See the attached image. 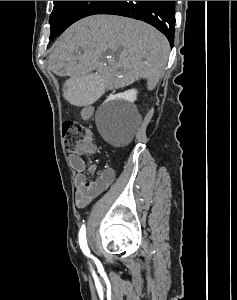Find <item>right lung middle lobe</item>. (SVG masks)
Here are the masks:
<instances>
[{"instance_id":"obj_1","label":"right lung middle lobe","mask_w":237,"mask_h":300,"mask_svg":"<svg viewBox=\"0 0 237 300\" xmlns=\"http://www.w3.org/2000/svg\"><path fill=\"white\" fill-rule=\"evenodd\" d=\"M50 15V40L62 34L71 24L86 16L93 15L106 1H53Z\"/></svg>"}]
</instances>
